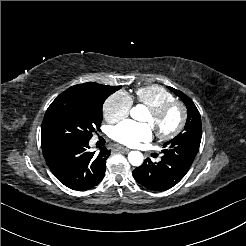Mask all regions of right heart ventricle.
Returning <instances> with one entry per match:
<instances>
[{"label":"right heart ventricle","instance_id":"e07e8e85","mask_svg":"<svg viewBox=\"0 0 246 246\" xmlns=\"http://www.w3.org/2000/svg\"><path fill=\"white\" fill-rule=\"evenodd\" d=\"M135 99L147 109L157 108L167 102L175 101V96L160 85L140 87L135 91Z\"/></svg>","mask_w":246,"mask_h":246}]
</instances>
